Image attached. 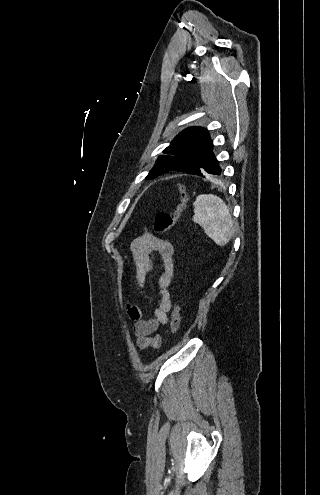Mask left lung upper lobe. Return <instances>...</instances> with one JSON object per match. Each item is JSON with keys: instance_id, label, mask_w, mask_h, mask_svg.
<instances>
[{"instance_id": "left-lung-upper-lobe-1", "label": "left lung upper lobe", "mask_w": 320, "mask_h": 495, "mask_svg": "<svg viewBox=\"0 0 320 495\" xmlns=\"http://www.w3.org/2000/svg\"><path fill=\"white\" fill-rule=\"evenodd\" d=\"M212 151V141L206 129L187 128L163 150V155L158 157L146 179H154L170 171L185 172L200 163Z\"/></svg>"}]
</instances>
